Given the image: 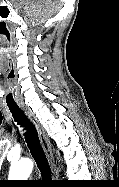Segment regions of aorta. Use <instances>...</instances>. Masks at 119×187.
I'll return each mask as SVG.
<instances>
[{"label": "aorta", "instance_id": "aorta-1", "mask_svg": "<svg viewBox=\"0 0 119 187\" xmlns=\"http://www.w3.org/2000/svg\"><path fill=\"white\" fill-rule=\"evenodd\" d=\"M33 170V161L22 159L12 163L9 171V180H27Z\"/></svg>", "mask_w": 119, "mask_h": 187}]
</instances>
